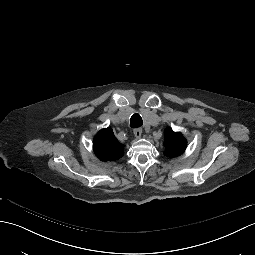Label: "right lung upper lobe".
Returning a JSON list of instances; mask_svg holds the SVG:
<instances>
[{"instance_id":"right-lung-upper-lobe-1","label":"right lung upper lobe","mask_w":255,"mask_h":255,"mask_svg":"<svg viewBox=\"0 0 255 255\" xmlns=\"http://www.w3.org/2000/svg\"><path fill=\"white\" fill-rule=\"evenodd\" d=\"M93 147L96 156L102 161H114L124 154L123 145L116 139L111 128L98 132Z\"/></svg>"}]
</instances>
